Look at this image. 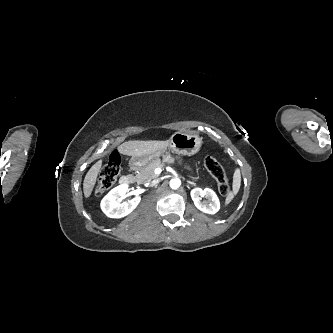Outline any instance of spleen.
I'll return each instance as SVG.
<instances>
[{
  "label": "spleen",
  "mask_w": 333,
  "mask_h": 333,
  "mask_svg": "<svg viewBox=\"0 0 333 333\" xmlns=\"http://www.w3.org/2000/svg\"><path fill=\"white\" fill-rule=\"evenodd\" d=\"M241 186V173L240 169H236L234 174H233V183H232V191H230L225 199V205H228L232 202L234 197L237 195L239 192Z\"/></svg>",
  "instance_id": "1"
}]
</instances>
